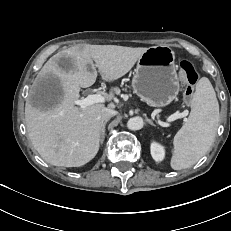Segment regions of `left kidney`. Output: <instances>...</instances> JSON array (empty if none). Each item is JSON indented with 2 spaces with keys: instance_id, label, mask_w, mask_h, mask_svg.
I'll return each instance as SVG.
<instances>
[{
  "instance_id": "1",
  "label": "left kidney",
  "mask_w": 231,
  "mask_h": 231,
  "mask_svg": "<svg viewBox=\"0 0 231 231\" xmlns=\"http://www.w3.org/2000/svg\"><path fill=\"white\" fill-rule=\"evenodd\" d=\"M151 155L156 162H161L165 157V149L162 145L156 142L151 143Z\"/></svg>"
}]
</instances>
